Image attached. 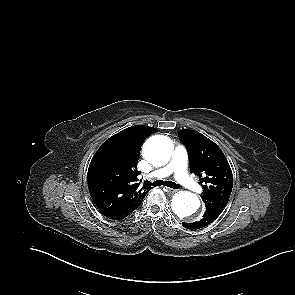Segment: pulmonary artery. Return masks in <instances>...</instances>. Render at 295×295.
Returning <instances> with one entry per match:
<instances>
[{
	"instance_id": "e3ab8cb5",
	"label": "pulmonary artery",
	"mask_w": 295,
	"mask_h": 295,
	"mask_svg": "<svg viewBox=\"0 0 295 295\" xmlns=\"http://www.w3.org/2000/svg\"><path fill=\"white\" fill-rule=\"evenodd\" d=\"M174 174L175 179L183 187L193 191L200 192L201 186L194 181L187 172V152L182 146H178L168 165L157 169L152 173L153 177L164 178L170 174Z\"/></svg>"
}]
</instances>
